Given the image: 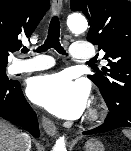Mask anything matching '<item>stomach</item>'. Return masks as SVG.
<instances>
[{
	"instance_id": "stomach-1",
	"label": "stomach",
	"mask_w": 131,
	"mask_h": 151,
	"mask_svg": "<svg viewBox=\"0 0 131 151\" xmlns=\"http://www.w3.org/2000/svg\"><path fill=\"white\" fill-rule=\"evenodd\" d=\"M85 151H105V148L99 140L90 139L85 143Z\"/></svg>"
}]
</instances>
